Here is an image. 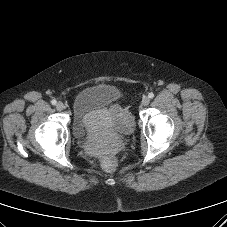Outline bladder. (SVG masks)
I'll list each match as a JSON object with an SVG mask.
<instances>
[{"instance_id":"obj_1","label":"bladder","mask_w":227,"mask_h":227,"mask_svg":"<svg viewBox=\"0 0 227 227\" xmlns=\"http://www.w3.org/2000/svg\"><path fill=\"white\" fill-rule=\"evenodd\" d=\"M121 101L120 91L111 85L98 84L82 89L73 103L74 136L83 138L91 133L106 116L107 111Z\"/></svg>"}]
</instances>
